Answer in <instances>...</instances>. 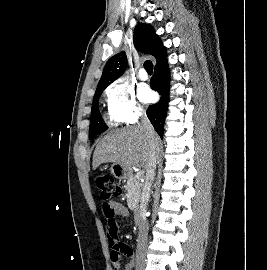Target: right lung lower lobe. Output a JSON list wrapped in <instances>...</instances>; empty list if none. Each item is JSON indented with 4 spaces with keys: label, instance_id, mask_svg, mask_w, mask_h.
<instances>
[{
    "label": "right lung lower lobe",
    "instance_id": "right-lung-lower-lobe-1",
    "mask_svg": "<svg viewBox=\"0 0 267 270\" xmlns=\"http://www.w3.org/2000/svg\"><path fill=\"white\" fill-rule=\"evenodd\" d=\"M167 54L165 53L157 60L155 73L150 81V86L160 95V101L147 109V116L160 137L163 135L164 119L169 102V68L167 63Z\"/></svg>",
    "mask_w": 267,
    "mask_h": 270
}]
</instances>
